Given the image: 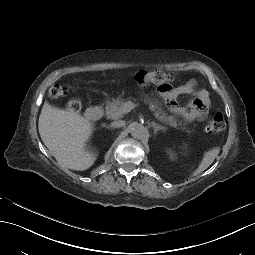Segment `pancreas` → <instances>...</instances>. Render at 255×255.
<instances>
[{
  "label": "pancreas",
  "instance_id": "pancreas-1",
  "mask_svg": "<svg viewBox=\"0 0 255 255\" xmlns=\"http://www.w3.org/2000/svg\"><path fill=\"white\" fill-rule=\"evenodd\" d=\"M124 101L120 99H112V101H108L106 104V115L110 119H119L125 114L123 110ZM150 109L154 111L155 117L170 126L176 127L177 122L173 116H168L163 113L162 110L153 104H150Z\"/></svg>",
  "mask_w": 255,
  "mask_h": 255
}]
</instances>
